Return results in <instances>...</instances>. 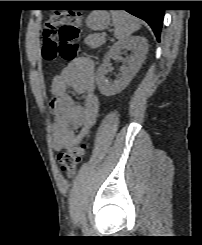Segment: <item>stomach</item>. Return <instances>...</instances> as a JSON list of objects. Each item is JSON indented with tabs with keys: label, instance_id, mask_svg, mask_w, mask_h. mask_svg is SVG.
Listing matches in <instances>:
<instances>
[{
	"label": "stomach",
	"instance_id": "0dacf381",
	"mask_svg": "<svg viewBox=\"0 0 202 245\" xmlns=\"http://www.w3.org/2000/svg\"><path fill=\"white\" fill-rule=\"evenodd\" d=\"M110 15L103 10L92 11L86 19L87 26L92 30H104L110 24Z\"/></svg>",
	"mask_w": 202,
	"mask_h": 245
}]
</instances>
